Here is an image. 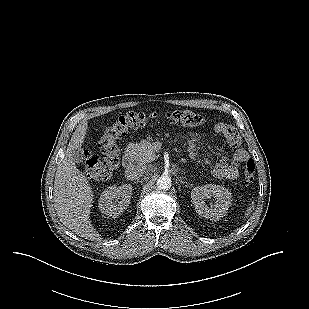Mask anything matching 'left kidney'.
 Instances as JSON below:
<instances>
[{
  "instance_id": "1",
  "label": "left kidney",
  "mask_w": 309,
  "mask_h": 309,
  "mask_svg": "<svg viewBox=\"0 0 309 309\" xmlns=\"http://www.w3.org/2000/svg\"><path fill=\"white\" fill-rule=\"evenodd\" d=\"M215 198V204L209 208L205 205L204 199ZM192 202L196 212L206 219L217 221L224 217L231 204V193L228 189L213 184H207L203 187H196L191 191Z\"/></svg>"
}]
</instances>
